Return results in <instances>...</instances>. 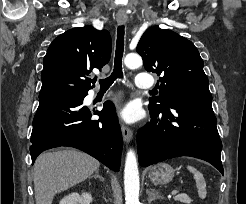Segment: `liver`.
I'll return each mask as SVG.
<instances>
[{
	"instance_id": "6515ba94",
	"label": "liver",
	"mask_w": 246,
	"mask_h": 204,
	"mask_svg": "<svg viewBox=\"0 0 246 204\" xmlns=\"http://www.w3.org/2000/svg\"><path fill=\"white\" fill-rule=\"evenodd\" d=\"M99 166V161L75 149L42 153L34 164L36 204H52L57 193L89 178Z\"/></svg>"
}]
</instances>
